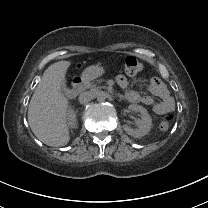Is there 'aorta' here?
Instances as JSON below:
<instances>
[{
    "label": "aorta",
    "instance_id": "1",
    "mask_svg": "<svg viewBox=\"0 0 208 208\" xmlns=\"http://www.w3.org/2000/svg\"><path fill=\"white\" fill-rule=\"evenodd\" d=\"M96 100H97L98 103L103 104V103L106 102L107 97H106L105 94L100 93V94L97 95Z\"/></svg>",
    "mask_w": 208,
    "mask_h": 208
}]
</instances>
